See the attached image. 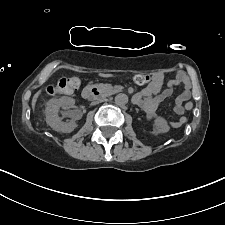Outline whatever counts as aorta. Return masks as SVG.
<instances>
[{"instance_id":"762f6f07","label":"aorta","mask_w":225,"mask_h":225,"mask_svg":"<svg viewBox=\"0 0 225 225\" xmlns=\"http://www.w3.org/2000/svg\"><path fill=\"white\" fill-rule=\"evenodd\" d=\"M114 102L118 106H125L128 103V96L124 93H119L115 96Z\"/></svg>"}]
</instances>
